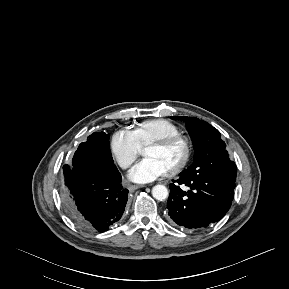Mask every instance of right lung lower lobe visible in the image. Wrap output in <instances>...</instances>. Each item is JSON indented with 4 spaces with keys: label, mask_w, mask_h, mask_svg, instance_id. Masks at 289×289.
Segmentation results:
<instances>
[{
    "label": "right lung lower lobe",
    "mask_w": 289,
    "mask_h": 289,
    "mask_svg": "<svg viewBox=\"0 0 289 289\" xmlns=\"http://www.w3.org/2000/svg\"><path fill=\"white\" fill-rule=\"evenodd\" d=\"M63 198L77 224L86 230L105 232L120 220L128 190L121 185L116 166L84 157L65 169Z\"/></svg>",
    "instance_id": "obj_1"
}]
</instances>
